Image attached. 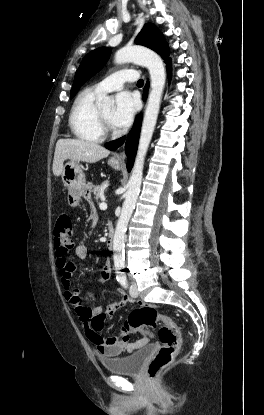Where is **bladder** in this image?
I'll list each match as a JSON object with an SVG mask.
<instances>
[{"label": "bladder", "mask_w": 264, "mask_h": 415, "mask_svg": "<svg viewBox=\"0 0 264 415\" xmlns=\"http://www.w3.org/2000/svg\"><path fill=\"white\" fill-rule=\"evenodd\" d=\"M154 351L155 345L150 343L127 356L104 358L102 364L108 372L137 375L142 371L146 359Z\"/></svg>", "instance_id": "1"}]
</instances>
